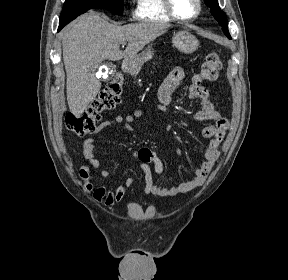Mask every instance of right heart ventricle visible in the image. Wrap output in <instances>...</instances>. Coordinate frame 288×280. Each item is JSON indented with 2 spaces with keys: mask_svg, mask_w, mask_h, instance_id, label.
<instances>
[{
  "mask_svg": "<svg viewBox=\"0 0 288 280\" xmlns=\"http://www.w3.org/2000/svg\"><path fill=\"white\" fill-rule=\"evenodd\" d=\"M135 17L144 22L172 21L164 9L163 0H136Z\"/></svg>",
  "mask_w": 288,
  "mask_h": 280,
  "instance_id": "obj_1",
  "label": "right heart ventricle"
}]
</instances>
